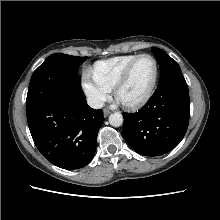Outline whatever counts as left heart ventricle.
<instances>
[{"instance_id": "1", "label": "left heart ventricle", "mask_w": 220, "mask_h": 220, "mask_svg": "<svg viewBox=\"0 0 220 220\" xmlns=\"http://www.w3.org/2000/svg\"><path fill=\"white\" fill-rule=\"evenodd\" d=\"M155 75L152 59L142 58L135 66L127 83L119 91V99L133 102L141 99L151 87Z\"/></svg>"}]
</instances>
